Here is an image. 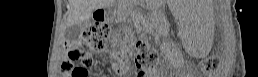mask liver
<instances>
[{"instance_id":"1","label":"liver","mask_w":258,"mask_h":77,"mask_svg":"<svg viewBox=\"0 0 258 77\" xmlns=\"http://www.w3.org/2000/svg\"><path fill=\"white\" fill-rule=\"evenodd\" d=\"M68 23L81 25L90 19L93 11L102 8L109 3V0H69Z\"/></svg>"}]
</instances>
